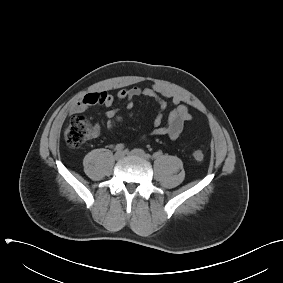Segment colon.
Instances as JSON below:
<instances>
[{"label":"colon","mask_w":283,"mask_h":283,"mask_svg":"<svg viewBox=\"0 0 283 283\" xmlns=\"http://www.w3.org/2000/svg\"><path fill=\"white\" fill-rule=\"evenodd\" d=\"M119 119L120 118L117 117L115 121H118ZM92 132L93 128L85 116H75L71 119L64 131L66 145L71 149L79 148L92 135ZM191 157L195 162L200 163L204 160V153L200 149H194Z\"/></svg>","instance_id":"obj_1"}]
</instances>
